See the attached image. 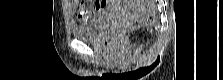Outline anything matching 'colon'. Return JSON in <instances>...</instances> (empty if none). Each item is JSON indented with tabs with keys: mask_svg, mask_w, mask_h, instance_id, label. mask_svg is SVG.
<instances>
[{
	"mask_svg": "<svg viewBox=\"0 0 223 80\" xmlns=\"http://www.w3.org/2000/svg\"><path fill=\"white\" fill-rule=\"evenodd\" d=\"M72 2H76L79 4H82V2L78 1V0H73ZM155 22V16L153 14H148L145 17L139 19L137 22L135 23H128L125 24L123 27H121L118 30V35L121 36L122 34L128 32L129 30L137 27V26H149L152 25Z\"/></svg>",
	"mask_w": 223,
	"mask_h": 80,
	"instance_id": "obj_1",
	"label": "colon"
}]
</instances>
